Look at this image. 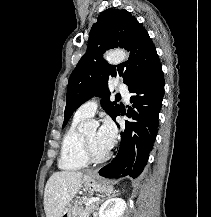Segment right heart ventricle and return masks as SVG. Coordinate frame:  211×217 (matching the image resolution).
Listing matches in <instances>:
<instances>
[{
	"mask_svg": "<svg viewBox=\"0 0 211 217\" xmlns=\"http://www.w3.org/2000/svg\"><path fill=\"white\" fill-rule=\"evenodd\" d=\"M83 121L84 118L75 115L63 136L58 159V166L63 170L75 171L88 164L82 152V133L79 129Z\"/></svg>",
	"mask_w": 211,
	"mask_h": 217,
	"instance_id": "obj_1",
	"label": "right heart ventricle"
}]
</instances>
